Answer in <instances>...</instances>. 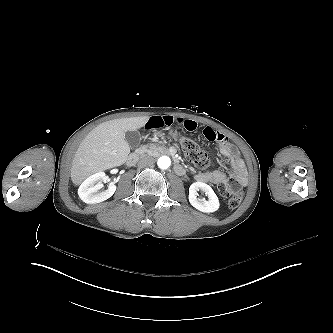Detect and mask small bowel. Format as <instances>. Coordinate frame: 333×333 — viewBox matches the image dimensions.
<instances>
[{
	"instance_id": "obj_1",
	"label": "small bowel",
	"mask_w": 333,
	"mask_h": 333,
	"mask_svg": "<svg viewBox=\"0 0 333 333\" xmlns=\"http://www.w3.org/2000/svg\"><path fill=\"white\" fill-rule=\"evenodd\" d=\"M168 125H178L187 131H195L198 129V123L192 118L183 117H152L143 126L145 131L153 128H160ZM203 135L207 140H220V152L230 162L231 171L225 173L221 170L211 172H203L195 175V178L200 182H207L216 187L226 183L229 179L236 182L239 186L244 187L248 184V176L245 163L238 151L228 141L226 137L219 131L206 127L203 130Z\"/></svg>"
}]
</instances>
